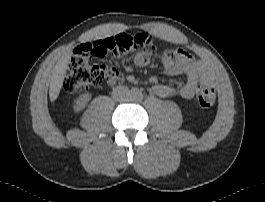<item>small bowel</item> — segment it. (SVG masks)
I'll return each mask as SVG.
<instances>
[{
  "label": "small bowel",
  "mask_w": 265,
  "mask_h": 202,
  "mask_svg": "<svg viewBox=\"0 0 265 202\" xmlns=\"http://www.w3.org/2000/svg\"><path fill=\"white\" fill-rule=\"evenodd\" d=\"M75 54L80 56L92 55L101 57L103 54L99 52L93 41H88L80 44L75 49ZM138 66H146L149 64V58L145 55L137 54L134 59ZM162 71L168 75L183 74L186 77L185 82L180 88H175L171 85L155 84L153 92L162 98L180 96L183 99H192L199 84L211 82V77L206 66L192 55L186 54L179 49L166 50L162 55ZM120 78L109 81L110 85H115ZM129 82L134 81L133 76H128Z\"/></svg>",
  "instance_id": "obj_1"
}]
</instances>
